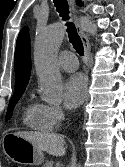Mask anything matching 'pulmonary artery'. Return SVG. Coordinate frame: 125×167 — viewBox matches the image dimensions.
I'll use <instances>...</instances> for the list:
<instances>
[{
	"mask_svg": "<svg viewBox=\"0 0 125 167\" xmlns=\"http://www.w3.org/2000/svg\"><path fill=\"white\" fill-rule=\"evenodd\" d=\"M57 62L66 72H74L77 69V58L74 53L63 51L58 55Z\"/></svg>",
	"mask_w": 125,
	"mask_h": 167,
	"instance_id": "e3ab8cb5",
	"label": "pulmonary artery"
}]
</instances>
